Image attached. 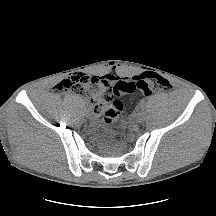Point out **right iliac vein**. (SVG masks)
<instances>
[{"label": "right iliac vein", "mask_w": 216, "mask_h": 216, "mask_svg": "<svg viewBox=\"0 0 216 216\" xmlns=\"http://www.w3.org/2000/svg\"><path fill=\"white\" fill-rule=\"evenodd\" d=\"M86 115L89 117V116H90V112L88 111V112L86 113Z\"/></svg>", "instance_id": "obj_1"}]
</instances>
